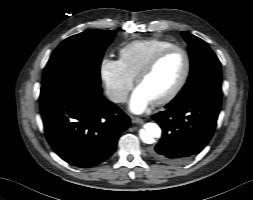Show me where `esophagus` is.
<instances>
[{
	"label": "esophagus",
	"instance_id": "1",
	"mask_svg": "<svg viewBox=\"0 0 253 200\" xmlns=\"http://www.w3.org/2000/svg\"><path fill=\"white\" fill-rule=\"evenodd\" d=\"M131 121H132V123H136V124L144 123V121L141 118H138V117H135V116L131 117Z\"/></svg>",
	"mask_w": 253,
	"mask_h": 200
}]
</instances>
